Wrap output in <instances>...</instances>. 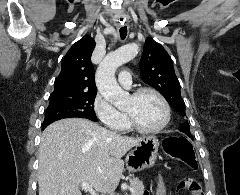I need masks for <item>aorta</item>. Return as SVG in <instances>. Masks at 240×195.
Masks as SVG:
<instances>
[{
  "label": "aorta",
  "instance_id": "aorta-1",
  "mask_svg": "<svg viewBox=\"0 0 240 195\" xmlns=\"http://www.w3.org/2000/svg\"><path fill=\"white\" fill-rule=\"evenodd\" d=\"M138 50L139 46L137 44L122 46L116 52L107 54L96 70L95 82L99 94L107 101H111L116 107H119L127 94L118 86L115 72L119 66H123L126 62L133 60L136 54H138Z\"/></svg>",
  "mask_w": 240,
  "mask_h": 195
}]
</instances>
